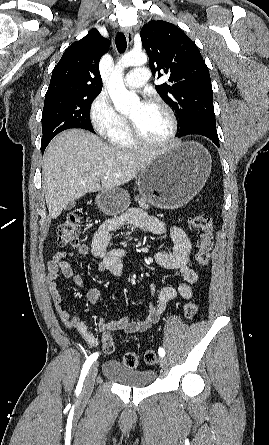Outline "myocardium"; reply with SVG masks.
I'll return each instance as SVG.
<instances>
[{
  "label": "myocardium",
  "mask_w": 269,
  "mask_h": 445,
  "mask_svg": "<svg viewBox=\"0 0 269 445\" xmlns=\"http://www.w3.org/2000/svg\"><path fill=\"white\" fill-rule=\"evenodd\" d=\"M142 103H153V104H156V105L160 106L161 108H163L170 119V131L167 134V136L161 140H157V141L149 140L141 134L134 119L130 116H127L128 127H129V130L131 132L133 139L138 144L148 146V147H153V148H163V147L169 145L176 137V134L178 131V120H177L174 110L163 99H161L159 97H155V96L147 98Z\"/></svg>",
  "instance_id": "obj_1"
}]
</instances>
